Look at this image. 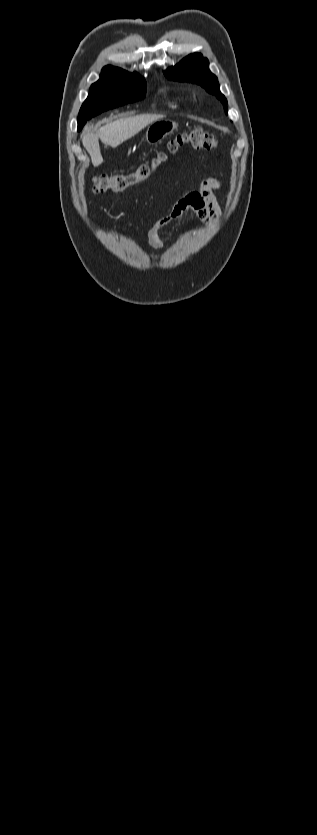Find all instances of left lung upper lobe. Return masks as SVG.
<instances>
[{
    "mask_svg": "<svg viewBox=\"0 0 317 835\" xmlns=\"http://www.w3.org/2000/svg\"><path fill=\"white\" fill-rule=\"evenodd\" d=\"M165 75L173 80L200 84L207 92L220 99L227 113V100L219 90L218 79L210 72L209 62L201 54L194 53L186 56L178 65L166 70Z\"/></svg>",
    "mask_w": 317,
    "mask_h": 835,
    "instance_id": "5c2ea615",
    "label": "left lung upper lobe"
}]
</instances>
